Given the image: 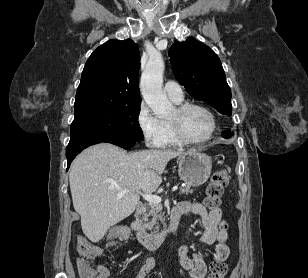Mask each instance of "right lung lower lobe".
I'll return each mask as SVG.
<instances>
[{
  "instance_id": "right-lung-lower-lobe-1",
  "label": "right lung lower lobe",
  "mask_w": 308,
  "mask_h": 278,
  "mask_svg": "<svg viewBox=\"0 0 308 278\" xmlns=\"http://www.w3.org/2000/svg\"><path fill=\"white\" fill-rule=\"evenodd\" d=\"M101 142H108L120 146L124 149H130L135 145L136 141L120 137H83L70 140L68 146L66 147V157L68 161L67 169L70 167L72 160L83 149Z\"/></svg>"
}]
</instances>
